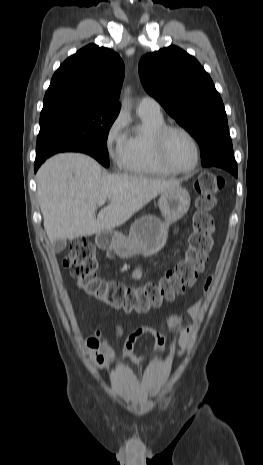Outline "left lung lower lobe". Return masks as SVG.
<instances>
[{
    "instance_id": "0a47b994",
    "label": "left lung lower lobe",
    "mask_w": 263,
    "mask_h": 465,
    "mask_svg": "<svg viewBox=\"0 0 263 465\" xmlns=\"http://www.w3.org/2000/svg\"><path fill=\"white\" fill-rule=\"evenodd\" d=\"M202 165L203 166H218V167H221V168H224L226 170H228L229 172H231L235 177L238 176L237 174V163L236 161H231V162H228V161H214V160H204L202 162Z\"/></svg>"
}]
</instances>
